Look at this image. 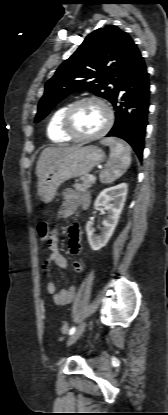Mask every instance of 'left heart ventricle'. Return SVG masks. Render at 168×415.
I'll list each match as a JSON object with an SVG mask.
<instances>
[{
	"instance_id": "b2bd125f",
	"label": "left heart ventricle",
	"mask_w": 168,
	"mask_h": 415,
	"mask_svg": "<svg viewBox=\"0 0 168 415\" xmlns=\"http://www.w3.org/2000/svg\"><path fill=\"white\" fill-rule=\"evenodd\" d=\"M106 122V112L97 103L87 102L80 105L72 117V126L80 135H92L99 132Z\"/></svg>"
}]
</instances>
